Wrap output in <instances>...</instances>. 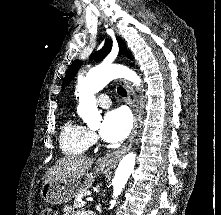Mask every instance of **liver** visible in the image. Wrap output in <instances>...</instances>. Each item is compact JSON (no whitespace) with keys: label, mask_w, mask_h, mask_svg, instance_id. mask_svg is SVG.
Here are the masks:
<instances>
[{"label":"liver","mask_w":221,"mask_h":215,"mask_svg":"<svg viewBox=\"0 0 221 215\" xmlns=\"http://www.w3.org/2000/svg\"><path fill=\"white\" fill-rule=\"evenodd\" d=\"M93 158L82 156H65L58 159L46 172L44 183L52 180L67 181L87 172L94 163Z\"/></svg>","instance_id":"liver-1"}]
</instances>
